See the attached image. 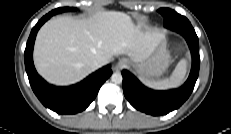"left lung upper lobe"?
I'll return each instance as SVG.
<instances>
[{"label": "left lung upper lobe", "instance_id": "left-lung-upper-lobe-1", "mask_svg": "<svg viewBox=\"0 0 231 134\" xmlns=\"http://www.w3.org/2000/svg\"><path fill=\"white\" fill-rule=\"evenodd\" d=\"M158 12L164 17V26L166 28H171L172 25L175 23L176 21V17H173L174 15V10H171L169 8H160L158 10ZM177 13V12H176ZM182 19L187 20V18H185L184 16L182 17Z\"/></svg>", "mask_w": 231, "mask_h": 134}]
</instances>
